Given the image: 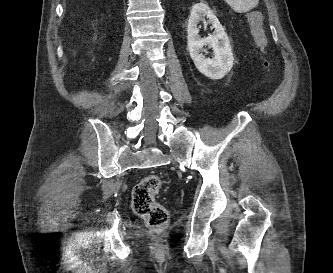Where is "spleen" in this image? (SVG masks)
Instances as JSON below:
<instances>
[{
  "label": "spleen",
  "instance_id": "obj_1",
  "mask_svg": "<svg viewBox=\"0 0 333 273\" xmlns=\"http://www.w3.org/2000/svg\"><path fill=\"white\" fill-rule=\"evenodd\" d=\"M227 4L236 12H248L258 5L259 0H225Z\"/></svg>",
  "mask_w": 333,
  "mask_h": 273
}]
</instances>
